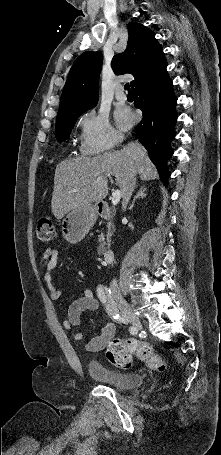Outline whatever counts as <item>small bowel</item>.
<instances>
[{
	"label": "small bowel",
	"mask_w": 221,
	"mask_h": 455,
	"mask_svg": "<svg viewBox=\"0 0 221 455\" xmlns=\"http://www.w3.org/2000/svg\"><path fill=\"white\" fill-rule=\"evenodd\" d=\"M58 250L53 247L45 248L39 257V271L41 278L47 286L49 296L52 300H58L61 297V291L54 285L52 281V270L57 265ZM100 308L99 301L94 297L91 289H85L82 296L74 300L68 308L67 317L63 321L64 329L71 332L74 340L80 341L84 338V333L78 330L77 327L81 323V315L86 311H98ZM116 331L115 324L107 323L101 334L90 339L86 348L88 351L97 352L102 350L107 343L114 337Z\"/></svg>",
	"instance_id": "obj_1"
}]
</instances>
